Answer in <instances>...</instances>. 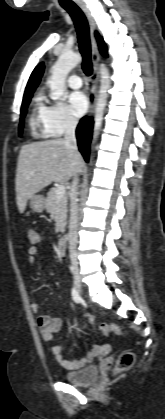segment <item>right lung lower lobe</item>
Masks as SVG:
<instances>
[{"instance_id": "obj_1", "label": "right lung lower lobe", "mask_w": 165, "mask_h": 419, "mask_svg": "<svg viewBox=\"0 0 165 419\" xmlns=\"http://www.w3.org/2000/svg\"><path fill=\"white\" fill-rule=\"evenodd\" d=\"M93 120L89 117H83L77 127L76 137L78 147L84 159L88 162L89 158V145L92 136Z\"/></svg>"}]
</instances>
